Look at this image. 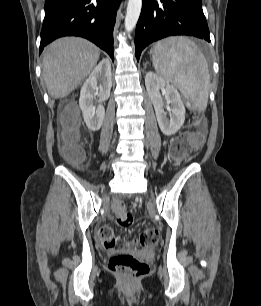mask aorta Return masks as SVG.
I'll use <instances>...</instances> for the list:
<instances>
[{"label":"aorta","instance_id":"obj_1","mask_svg":"<svg viewBox=\"0 0 261 306\" xmlns=\"http://www.w3.org/2000/svg\"><path fill=\"white\" fill-rule=\"evenodd\" d=\"M141 8H142V0L128 1L125 22H124L125 30L127 32H131L135 28L140 16Z\"/></svg>","mask_w":261,"mask_h":306}]
</instances>
